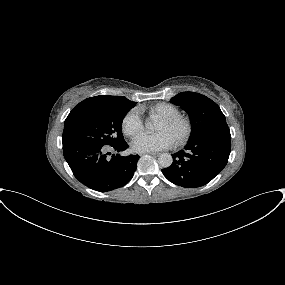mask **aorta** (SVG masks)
<instances>
[{
    "label": "aorta",
    "mask_w": 285,
    "mask_h": 285,
    "mask_svg": "<svg viewBox=\"0 0 285 285\" xmlns=\"http://www.w3.org/2000/svg\"><path fill=\"white\" fill-rule=\"evenodd\" d=\"M146 127L151 128L152 127L151 123L150 122L146 123ZM172 162H173V158L169 153H162L158 157V163L163 168L170 167Z\"/></svg>",
    "instance_id": "762f6f07"
}]
</instances>
